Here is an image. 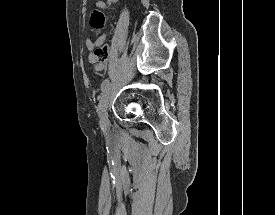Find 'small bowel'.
Masks as SVG:
<instances>
[{"label": "small bowel", "instance_id": "c3829d8e", "mask_svg": "<svg viewBox=\"0 0 275 215\" xmlns=\"http://www.w3.org/2000/svg\"><path fill=\"white\" fill-rule=\"evenodd\" d=\"M106 6L107 4L103 0H96L94 4V7L96 8H105ZM103 41H104V37H99L97 40L93 41L89 36L86 37V40H85L86 47L89 52L88 59L91 63L94 64L96 70H102L105 68V64L99 62L94 55L95 49L99 45H101Z\"/></svg>", "mask_w": 275, "mask_h": 215}]
</instances>
